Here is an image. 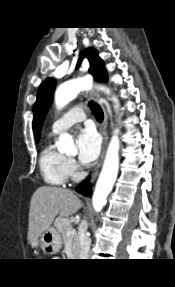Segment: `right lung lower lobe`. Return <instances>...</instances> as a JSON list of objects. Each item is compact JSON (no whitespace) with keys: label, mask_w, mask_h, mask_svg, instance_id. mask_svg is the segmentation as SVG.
I'll list each match as a JSON object with an SVG mask.
<instances>
[{"label":"right lung lower lobe","mask_w":175,"mask_h":287,"mask_svg":"<svg viewBox=\"0 0 175 287\" xmlns=\"http://www.w3.org/2000/svg\"><path fill=\"white\" fill-rule=\"evenodd\" d=\"M89 178L86 179L82 184L78 185L76 188V191L78 193H81L84 196H91L92 192H91V184L88 183Z\"/></svg>","instance_id":"obj_1"}]
</instances>
